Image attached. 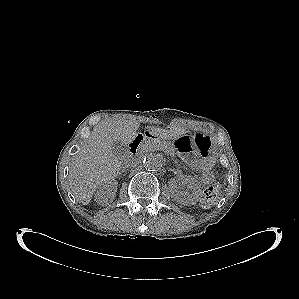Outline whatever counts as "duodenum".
Wrapping results in <instances>:
<instances>
[{"label": "duodenum", "mask_w": 299, "mask_h": 299, "mask_svg": "<svg viewBox=\"0 0 299 299\" xmlns=\"http://www.w3.org/2000/svg\"><path fill=\"white\" fill-rule=\"evenodd\" d=\"M152 134L148 131L144 133H139L129 144V152L131 154H135L140 147L141 143L145 140V138L151 137Z\"/></svg>", "instance_id": "1"}]
</instances>
